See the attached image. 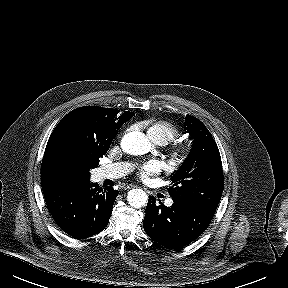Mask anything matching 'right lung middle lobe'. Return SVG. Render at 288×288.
Masks as SVG:
<instances>
[{"label": "right lung middle lobe", "mask_w": 288, "mask_h": 288, "mask_svg": "<svg viewBox=\"0 0 288 288\" xmlns=\"http://www.w3.org/2000/svg\"><path fill=\"white\" fill-rule=\"evenodd\" d=\"M113 138L106 139L103 144L95 145L84 153L63 142L44 157L42 170L52 177L67 179L72 185L89 181L90 169L98 166L99 158L108 151Z\"/></svg>", "instance_id": "obj_1"}]
</instances>
